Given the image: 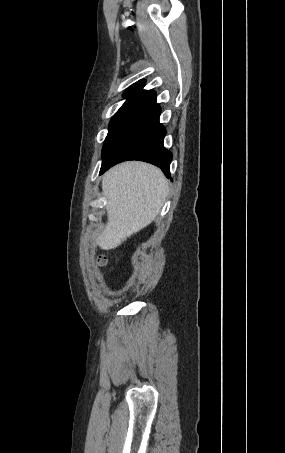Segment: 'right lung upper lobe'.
<instances>
[{"instance_id": "obj_1", "label": "right lung upper lobe", "mask_w": 285, "mask_h": 453, "mask_svg": "<svg viewBox=\"0 0 285 453\" xmlns=\"http://www.w3.org/2000/svg\"><path fill=\"white\" fill-rule=\"evenodd\" d=\"M145 85V80H140L137 83L131 85L123 94L124 98H130L133 96L136 92L141 90Z\"/></svg>"}]
</instances>
